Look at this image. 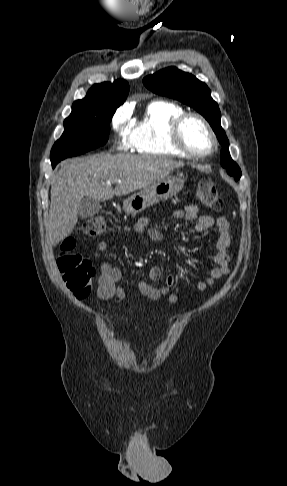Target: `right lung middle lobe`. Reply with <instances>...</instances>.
Here are the masks:
<instances>
[{"label": "right lung middle lobe", "mask_w": 287, "mask_h": 486, "mask_svg": "<svg viewBox=\"0 0 287 486\" xmlns=\"http://www.w3.org/2000/svg\"><path fill=\"white\" fill-rule=\"evenodd\" d=\"M115 110L101 107L72 109L64 121V132L50 153L52 165L104 145Z\"/></svg>", "instance_id": "dd1d6c3e"}]
</instances>
